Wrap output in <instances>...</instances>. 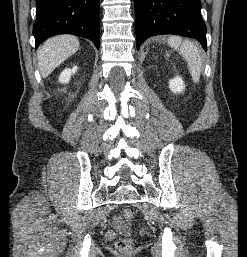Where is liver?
<instances>
[{
    "mask_svg": "<svg viewBox=\"0 0 247 257\" xmlns=\"http://www.w3.org/2000/svg\"><path fill=\"white\" fill-rule=\"evenodd\" d=\"M79 40L72 35H59L44 42L38 51V66L43 78L79 49Z\"/></svg>",
    "mask_w": 247,
    "mask_h": 257,
    "instance_id": "6515ba94",
    "label": "liver"
}]
</instances>
